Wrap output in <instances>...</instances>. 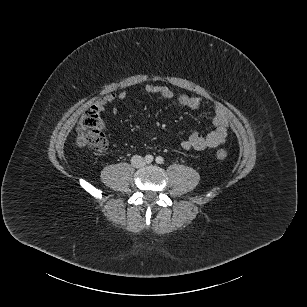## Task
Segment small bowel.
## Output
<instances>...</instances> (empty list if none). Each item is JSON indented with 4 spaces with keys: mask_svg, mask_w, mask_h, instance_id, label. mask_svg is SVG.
I'll return each mask as SVG.
<instances>
[{
    "mask_svg": "<svg viewBox=\"0 0 307 307\" xmlns=\"http://www.w3.org/2000/svg\"><path fill=\"white\" fill-rule=\"evenodd\" d=\"M142 90L147 94L158 95L164 99H170L174 95L170 88L160 85H146L142 88ZM126 97V92H120L118 94L110 93L98 99L94 106H96L99 111H103L107 105H111L119 100H124ZM178 102L181 106L190 109H199L203 106V101L201 98L186 94L179 95ZM211 111L213 124L212 130L206 136H203L197 132L192 133L180 144L184 150L204 151L206 149L216 148L225 143L229 128V121L224 112L218 106H212ZM113 112H117L115 107L113 108Z\"/></svg>",
    "mask_w": 307,
    "mask_h": 307,
    "instance_id": "c3829d8e",
    "label": "small bowel"
}]
</instances>
